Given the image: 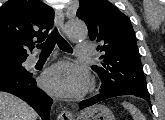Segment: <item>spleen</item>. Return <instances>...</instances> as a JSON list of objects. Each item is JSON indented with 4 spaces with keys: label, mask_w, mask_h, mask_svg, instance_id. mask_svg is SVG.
Masks as SVG:
<instances>
[{
    "label": "spleen",
    "mask_w": 165,
    "mask_h": 120,
    "mask_svg": "<svg viewBox=\"0 0 165 120\" xmlns=\"http://www.w3.org/2000/svg\"><path fill=\"white\" fill-rule=\"evenodd\" d=\"M122 105L132 115L133 120H146L145 116L141 113V111H139V109H137L133 104L123 102Z\"/></svg>",
    "instance_id": "spleen-1"
}]
</instances>
